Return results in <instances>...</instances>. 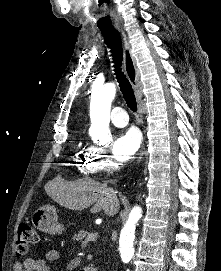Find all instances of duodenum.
I'll use <instances>...</instances> for the list:
<instances>
[{"instance_id": "410a0bca", "label": "duodenum", "mask_w": 221, "mask_h": 271, "mask_svg": "<svg viewBox=\"0 0 221 271\" xmlns=\"http://www.w3.org/2000/svg\"><path fill=\"white\" fill-rule=\"evenodd\" d=\"M80 271H98V267H96V266H88V267L82 268Z\"/></svg>"}]
</instances>
